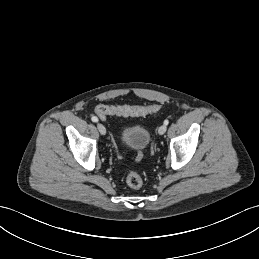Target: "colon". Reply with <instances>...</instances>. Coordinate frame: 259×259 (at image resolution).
<instances>
[{
  "label": "colon",
  "mask_w": 259,
  "mask_h": 259,
  "mask_svg": "<svg viewBox=\"0 0 259 259\" xmlns=\"http://www.w3.org/2000/svg\"><path fill=\"white\" fill-rule=\"evenodd\" d=\"M158 109L156 105H123V106H113V105H99L96 109L97 115L105 120L107 116L120 115V116H142ZM141 159V154H138L136 160ZM126 183L130 188L139 189L144 184V178L138 172L132 171L126 177Z\"/></svg>",
  "instance_id": "1"
}]
</instances>
